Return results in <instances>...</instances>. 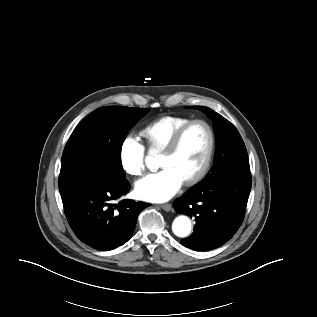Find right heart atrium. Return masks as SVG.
<instances>
[{"label":"right heart atrium","instance_id":"obj_1","mask_svg":"<svg viewBox=\"0 0 317 317\" xmlns=\"http://www.w3.org/2000/svg\"><path fill=\"white\" fill-rule=\"evenodd\" d=\"M119 161L125 173L141 176L145 172V147L136 137H126L119 148Z\"/></svg>","mask_w":317,"mask_h":317}]
</instances>
